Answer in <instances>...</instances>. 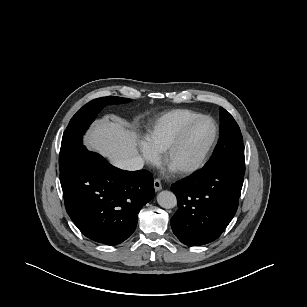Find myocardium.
<instances>
[{"mask_svg": "<svg viewBox=\"0 0 307 307\" xmlns=\"http://www.w3.org/2000/svg\"><path fill=\"white\" fill-rule=\"evenodd\" d=\"M201 120H209L214 125V136H213V139H212L210 145L208 146V148L206 149V151L204 152L202 157L199 159V161L196 162L195 164L188 166V167H184V168H178V169L172 168L170 166V159H171L173 153L178 148V146L181 144V142L183 141L185 136L188 134V132L191 130V128ZM218 139H219V125L216 122V120L209 115H200V116L190 120L189 122H187L181 128V130L178 132V134L175 136V138L171 141V143L165 149L164 155H163V162H164L165 166L170 171H172L173 173H175L177 175L186 176V175L193 174V173L199 171L201 168H203L205 166V164L207 163L208 159L210 158V156H211V154H212V152H213V150H214V148H215V146L218 142Z\"/></svg>", "mask_w": 307, "mask_h": 307, "instance_id": "myocardium-1", "label": "myocardium"}]
</instances>
